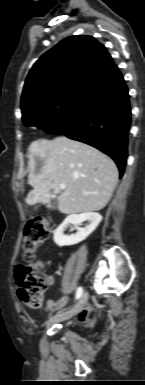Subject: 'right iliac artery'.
Instances as JSON below:
<instances>
[{
	"instance_id": "right-iliac-artery-1",
	"label": "right iliac artery",
	"mask_w": 145,
	"mask_h": 385,
	"mask_svg": "<svg viewBox=\"0 0 145 385\" xmlns=\"http://www.w3.org/2000/svg\"><path fill=\"white\" fill-rule=\"evenodd\" d=\"M83 293V288L79 287L76 291V299H79Z\"/></svg>"
}]
</instances>
